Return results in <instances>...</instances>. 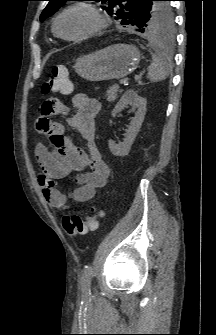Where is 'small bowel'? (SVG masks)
Returning <instances> with one entry per match:
<instances>
[{"mask_svg":"<svg viewBox=\"0 0 216 335\" xmlns=\"http://www.w3.org/2000/svg\"><path fill=\"white\" fill-rule=\"evenodd\" d=\"M72 108L75 113L69 115ZM40 109L42 117L36 119L33 128L37 135H46V141L36 143L34 153L40 167L38 182L45 199L55 209L65 208L69 200L77 203L92 200L96 191L107 184L110 173L95 140V117L101 109L100 102L78 93L72 97L71 106L64 104L62 98L48 94ZM47 114L69 115L67 126L80 133L86 150L73 141L63 124L51 122ZM73 171L77 173V186L66 195L56 181Z\"/></svg>","mask_w":216,"mask_h":335,"instance_id":"c3829d8e","label":"small bowel"}]
</instances>
